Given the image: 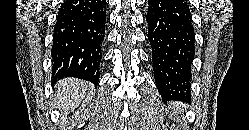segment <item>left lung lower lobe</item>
Returning <instances> with one entry per match:
<instances>
[{
  "label": "left lung lower lobe",
  "instance_id": "obj_1",
  "mask_svg": "<svg viewBox=\"0 0 249 130\" xmlns=\"http://www.w3.org/2000/svg\"><path fill=\"white\" fill-rule=\"evenodd\" d=\"M146 20L158 90L164 98L184 101L190 93L195 54L189 3L148 0Z\"/></svg>",
  "mask_w": 249,
  "mask_h": 130
}]
</instances>
